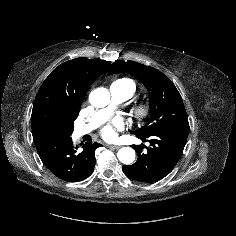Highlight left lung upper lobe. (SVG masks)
<instances>
[{"mask_svg":"<svg viewBox=\"0 0 236 236\" xmlns=\"http://www.w3.org/2000/svg\"><path fill=\"white\" fill-rule=\"evenodd\" d=\"M114 73L131 74L148 90L150 116L143 127L132 132L137 138H147L172 126L188 123L181 95L166 75L155 68L132 61L114 62L109 75Z\"/></svg>","mask_w":236,"mask_h":236,"instance_id":"5c2ea615","label":"left lung upper lobe"}]
</instances>
